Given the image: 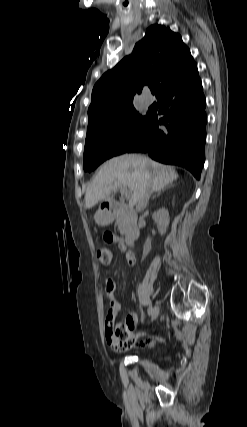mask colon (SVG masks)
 Segmentation results:
<instances>
[{"label":"colon","mask_w":247,"mask_h":427,"mask_svg":"<svg viewBox=\"0 0 247 427\" xmlns=\"http://www.w3.org/2000/svg\"><path fill=\"white\" fill-rule=\"evenodd\" d=\"M97 260L102 265H108L113 257V251L110 247L100 248L96 253ZM131 329L125 324L114 325L113 321L106 322V336L113 349L123 351L129 349L134 339Z\"/></svg>","instance_id":"5ec220e1"}]
</instances>
